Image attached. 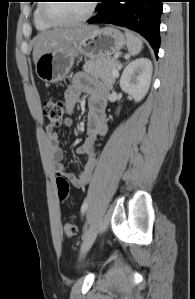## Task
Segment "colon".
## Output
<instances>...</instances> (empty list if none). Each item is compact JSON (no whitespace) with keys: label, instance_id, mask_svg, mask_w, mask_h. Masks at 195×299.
<instances>
[{"label":"colon","instance_id":"5ec220e1","mask_svg":"<svg viewBox=\"0 0 195 299\" xmlns=\"http://www.w3.org/2000/svg\"><path fill=\"white\" fill-rule=\"evenodd\" d=\"M43 114L51 122V124L58 126L61 124L66 104L59 99H47L43 103ZM57 194L62 202H65L69 196V183L66 178L59 175L56 180ZM77 232V227L73 223H66L64 225V233L71 237Z\"/></svg>","mask_w":195,"mask_h":299}]
</instances>
